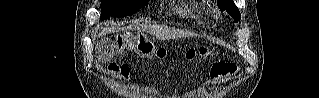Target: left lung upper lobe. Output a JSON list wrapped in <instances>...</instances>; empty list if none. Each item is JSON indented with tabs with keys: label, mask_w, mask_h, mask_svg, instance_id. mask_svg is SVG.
I'll return each instance as SVG.
<instances>
[{
	"label": "left lung upper lobe",
	"mask_w": 319,
	"mask_h": 98,
	"mask_svg": "<svg viewBox=\"0 0 319 98\" xmlns=\"http://www.w3.org/2000/svg\"><path fill=\"white\" fill-rule=\"evenodd\" d=\"M218 6L223 11H227L238 22L241 18L240 12L233 0H217Z\"/></svg>",
	"instance_id": "obj_1"
}]
</instances>
